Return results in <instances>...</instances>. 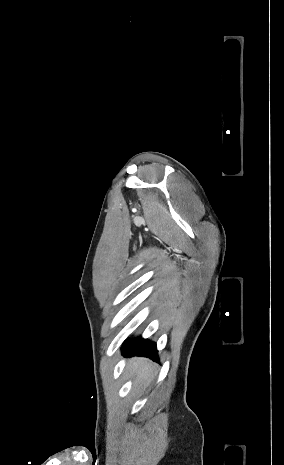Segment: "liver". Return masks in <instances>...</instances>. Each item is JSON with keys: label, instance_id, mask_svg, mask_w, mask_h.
I'll use <instances>...</instances> for the list:
<instances>
[{"label": "liver", "instance_id": "obj_1", "mask_svg": "<svg viewBox=\"0 0 284 465\" xmlns=\"http://www.w3.org/2000/svg\"><path fill=\"white\" fill-rule=\"evenodd\" d=\"M130 375H136V383L148 387L153 379L152 365L147 359H132L130 365Z\"/></svg>", "mask_w": 284, "mask_h": 465}]
</instances>
